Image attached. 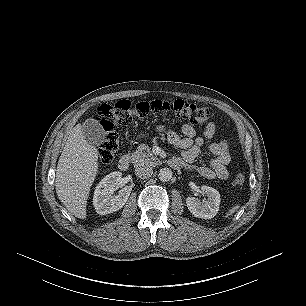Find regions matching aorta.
Listing matches in <instances>:
<instances>
[{
	"instance_id": "obj_1",
	"label": "aorta",
	"mask_w": 306,
	"mask_h": 306,
	"mask_svg": "<svg viewBox=\"0 0 306 306\" xmlns=\"http://www.w3.org/2000/svg\"><path fill=\"white\" fill-rule=\"evenodd\" d=\"M172 171L169 168H162L159 171L158 177L162 182H167L172 178Z\"/></svg>"
}]
</instances>
